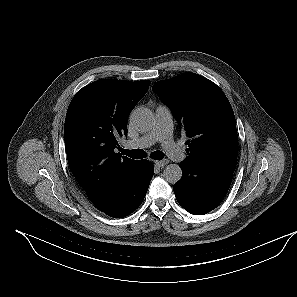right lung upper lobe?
Wrapping results in <instances>:
<instances>
[{
    "instance_id": "cb5924a9",
    "label": "right lung upper lobe",
    "mask_w": 297,
    "mask_h": 297,
    "mask_svg": "<svg viewBox=\"0 0 297 297\" xmlns=\"http://www.w3.org/2000/svg\"><path fill=\"white\" fill-rule=\"evenodd\" d=\"M149 80L101 79L82 88L66 114L64 139L70 169L100 211L112 206L139 171L140 161L115 152L127 135L130 111Z\"/></svg>"
}]
</instances>
